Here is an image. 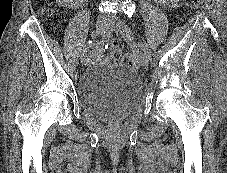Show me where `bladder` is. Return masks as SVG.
Returning a JSON list of instances; mask_svg holds the SVG:
<instances>
[{
	"mask_svg": "<svg viewBox=\"0 0 227 173\" xmlns=\"http://www.w3.org/2000/svg\"><path fill=\"white\" fill-rule=\"evenodd\" d=\"M76 92L85 112L107 122H119L139 107L143 84L133 68L107 62L87 69L77 82Z\"/></svg>",
	"mask_w": 227,
	"mask_h": 173,
	"instance_id": "31cf9c89",
	"label": "bladder"
}]
</instances>
